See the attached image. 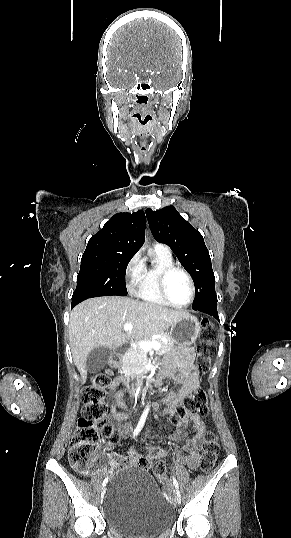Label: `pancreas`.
Here are the masks:
<instances>
[{
	"label": "pancreas",
	"mask_w": 291,
	"mask_h": 538,
	"mask_svg": "<svg viewBox=\"0 0 291 538\" xmlns=\"http://www.w3.org/2000/svg\"><path fill=\"white\" fill-rule=\"evenodd\" d=\"M162 338L167 339V343L162 342L161 339H146L149 342H159L161 344L160 349L156 350L157 355H163L170 351L174 345L168 334H160ZM140 341H136L131 344L129 351L123 356V364L127 366L132 372H142L144 365L147 362L146 351L139 346Z\"/></svg>",
	"instance_id": "1"
}]
</instances>
